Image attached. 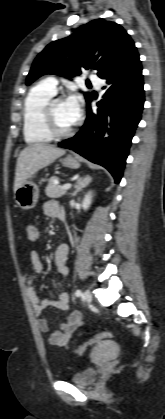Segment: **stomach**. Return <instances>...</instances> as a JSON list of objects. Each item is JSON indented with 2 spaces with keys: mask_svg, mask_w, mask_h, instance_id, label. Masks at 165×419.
Segmentation results:
<instances>
[{
  "mask_svg": "<svg viewBox=\"0 0 165 419\" xmlns=\"http://www.w3.org/2000/svg\"><path fill=\"white\" fill-rule=\"evenodd\" d=\"M62 164L63 166L71 169H78L80 167L79 160L71 155H68L66 158H64ZM38 198L39 188L31 180H27L14 192V199L16 204L24 210L34 208L37 204Z\"/></svg>",
  "mask_w": 165,
  "mask_h": 419,
  "instance_id": "1",
  "label": "stomach"
}]
</instances>
